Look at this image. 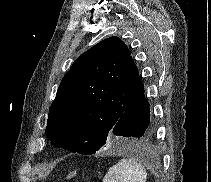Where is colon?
<instances>
[{
  "label": "colon",
  "instance_id": "colon-1",
  "mask_svg": "<svg viewBox=\"0 0 211 182\" xmlns=\"http://www.w3.org/2000/svg\"><path fill=\"white\" fill-rule=\"evenodd\" d=\"M73 175H74V173L71 172V173L68 174V177H72Z\"/></svg>",
  "mask_w": 211,
  "mask_h": 182
}]
</instances>
